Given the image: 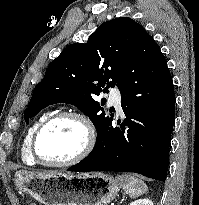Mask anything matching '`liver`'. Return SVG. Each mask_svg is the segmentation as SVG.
Returning <instances> with one entry per match:
<instances>
[{"label":"liver","instance_id":"1","mask_svg":"<svg viewBox=\"0 0 199 205\" xmlns=\"http://www.w3.org/2000/svg\"><path fill=\"white\" fill-rule=\"evenodd\" d=\"M27 173H29V174H31V175H40V174H34V173H32V172H27Z\"/></svg>","mask_w":199,"mask_h":205}]
</instances>
